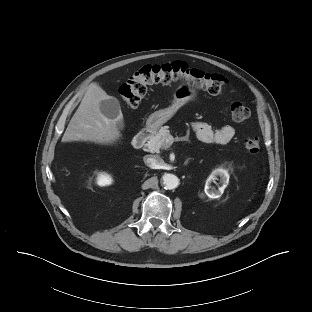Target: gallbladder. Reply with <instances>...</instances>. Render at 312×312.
I'll return each mask as SVG.
<instances>
[{"mask_svg": "<svg viewBox=\"0 0 312 312\" xmlns=\"http://www.w3.org/2000/svg\"><path fill=\"white\" fill-rule=\"evenodd\" d=\"M100 110L107 118L116 120V126L118 129H123L124 124L120 103L116 98L111 97L107 100L101 101Z\"/></svg>", "mask_w": 312, "mask_h": 312, "instance_id": "1", "label": "gallbladder"}]
</instances>
